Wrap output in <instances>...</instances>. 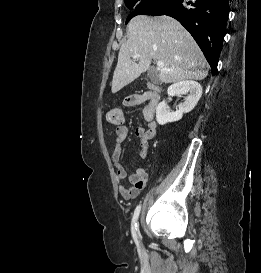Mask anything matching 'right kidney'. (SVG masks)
<instances>
[{
	"label": "right kidney",
	"mask_w": 261,
	"mask_h": 273,
	"mask_svg": "<svg viewBox=\"0 0 261 273\" xmlns=\"http://www.w3.org/2000/svg\"><path fill=\"white\" fill-rule=\"evenodd\" d=\"M167 93L168 96L188 95L185 98V102L179 104V109L176 112L169 110L165 100L158 104L156 108V120L160 125L178 121L183 117V114L192 111L202 96V86L196 81L185 80L171 85Z\"/></svg>",
	"instance_id": "ca27d5eb"
}]
</instances>
